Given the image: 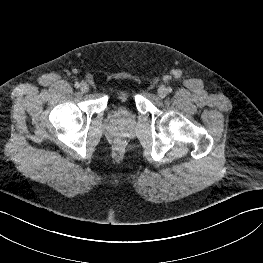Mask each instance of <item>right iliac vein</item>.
I'll list each match as a JSON object with an SVG mask.
<instances>
[{
	"label": "right iliac vein",
	"mask_w": 263,
	"mask_h": 263,
	"mask_svg": "<svg viewBox=\"0 0 263 263\" xmlns=\"http://www.w3.org/2000/svg\"><path fill=\"white\" fill-rule=\"evenodd\" d=\"M81 92L87 93L89 91V85L86 82H83L80 87Z\"/></svg>",
	"instance_id": "right-iliac-vein-1"
}]
</instances>
